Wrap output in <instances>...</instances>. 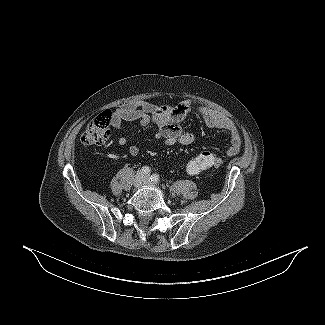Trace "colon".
I'll return each mask as SVG.
<instances>
[{
    "instance_id": "5ec220e1",
    "label": "colon",
    "mask_w": 325,
    "mask_h": 325,
    "mask_svg": "<svg viewBox=\"0 0 325 325\" xmlns=\"http://www.w3.org/2000/svg\"><path fill=\"white\" fill-rule=\"evenodd\" d=\"M113 114L111 111H104L90 121L86 130L82 134L81 142L84 146L103 144L110 138V124ZM216 156L212 152H202L191 159L193 162L189 172L198 174L203 170L216 164Z\"/></svg>"
}]
</instances>
